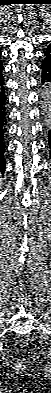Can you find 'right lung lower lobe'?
I'll return each instance as SVG.
<instances>
[{
	"label": "right lung lower lobe",
	"instance_id": "right-lung-lower-lobe-1",
	"mask_svg": "<svg viewBox=\"0 0 51 393\" xmlns=\"http://www.w3.org/2000/svg\"><path fill=\"white\" fill-rule=\"evenodd\" d=\"M3 70V68H2ZM6 97L4 93V80L0 72V172L4 174L5 170V145H4V137L6 132Z\"/></svg>",
	"mask_w": 51,
	"mask_h": 393
}]
</instances>
